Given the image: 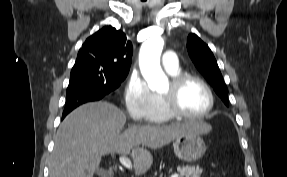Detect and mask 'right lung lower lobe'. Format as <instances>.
Segmentation results:
<instances>
[{
    "mask_svg": "<svg viewBox=\"0 0 287 177\" xmlns=\"http://www.w3.org/2000/svg\"><path fill=\"white\" fill-rule=\"evenodd\" d=\"M115 92L116 91L107 92L102 87L94 86H80L72 89H67L66 104L62 119L79 105L86 102L98 101L102 98L113 95Z\"/></svg>",
    "mask_w": 287,
    "mask_h": 177,
    "instance_id": "98d812e1",
    "label": "right lung lower lobe"
}]
</instances>
